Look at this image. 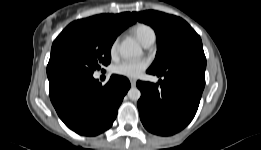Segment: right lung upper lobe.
Returning <instances> with one entry per match:
<instances>
[{"label":"right lung upper lobe","mask_w":261,"mask_h":150,"mask_svg":"<svg viewBox=\"0 0 261 150\" xmlns=\"http://www.w3.org/2000/svg\"><path fill=\"white\" fill-rule=\"evenodd\" d=\"M72 23H89L102 26L117 36L128 26L135 23V20L130 12L120 14H100L86 19L74 21Z\"/></svg>","instance_id":"right-lung-upper-lobe-1"}]
</instances>
